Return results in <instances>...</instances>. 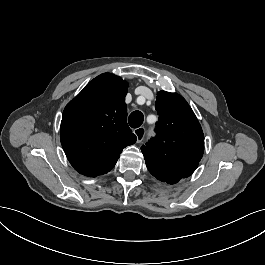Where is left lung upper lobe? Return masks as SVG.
Here are the masks:
<instances>
[{
    "label": "left lung upper lobe",
    "instance_id": "obj_1",
    "mask_svg": "<svg viewBox=\"0 0 265 265\" xmlns=\"http://www.w3.org/2000/svg\"><path fill=\"white\" fill-rule=\"evenodd\" d=\"M155 108L156 136L141 151L153 176L175 184L197 168L204 152L203 131L191 107L176 93L158 92Z\"/></svg>",
    "mask_w": 265,
    "mask_h": 265
}]
</instances>
